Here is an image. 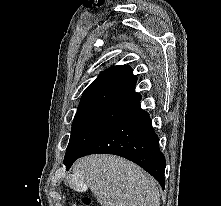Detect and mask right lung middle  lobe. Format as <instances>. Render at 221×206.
<instances>
[{"mask_svg":"<svg viewBox=\"0 0 221 206\" xmlns=\"http://www.w3.org/2000/svg\"><path fill=\"white\" fill-rule=\"evenodd\" d=\"M126 110L127 108L115 106H91L78 109L72 123L64 164L76 159L99 134Z\"/></svg>","mask_w":221,"mask_h":206,"instance_id":"obj_1","label":"right lung middle lobe"}]
</instances>
